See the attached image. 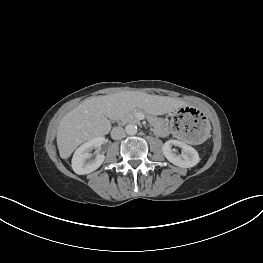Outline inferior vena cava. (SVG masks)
<instances>
[{
    "label": "inferior vena cava",
    "instance_id": "1",
    "mask_svg": "<svg viewBox=\"0 0 263 263\" xmlns=\"http://www.w3.org/2000/svg\"><path fill=\"white\" fill-rule=\"evenodd\" d=\"M125 136V131L122 127H114L111 131V137L114 140L122 139Z\"/></svg>",
    "mask_w": 263,
    "mask_h": 263
}]
</instances>
